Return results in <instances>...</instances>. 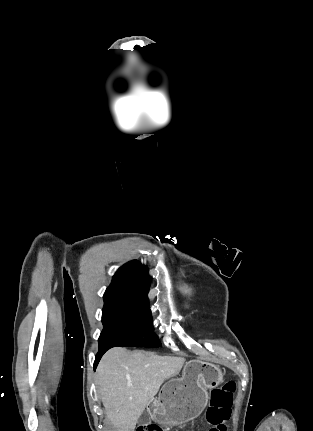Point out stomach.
I'll list each match as a JSON object with an SVG mask.
<instances>
[{
	"label": "stomach",
	"mask_w": 313,
	"mask_h": 431,
	"mask_svg": "<svg viewBox=\"0 0 313 431\" xmlns=\"http://www.w3.org/2000/svg\"><path fill=\"white\" fill-rule=\"evenodd\" d=\"M223 382L221 369L209 362H187L180 378L169 380L149 409L153 419L163 426H176L198 417L208 402V389Z\"/></svg>",
	"instance_id": "stomach-1"
}]
</instances>
